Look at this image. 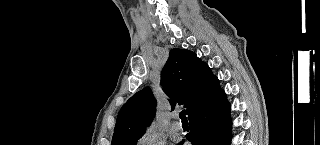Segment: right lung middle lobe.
Returning <instances> with one entry per match:
<instances>
[{
	"label": "right lung middle lobe",
	"instance_id": "obj_1",
	"mask_svg": "<svg viewBox=\"0 0 320 145\" xmlns=\"http://www.w3.org/2000/svg\"><path fill=\"white\" fill-rule=\"evenodd\" d=\"M137 141V140H136ZM136 141H134L131 145H134L136 143Z\"/></svg>",
	"mask_w": 320,
	"mask_h": 145
}]
</instances>
